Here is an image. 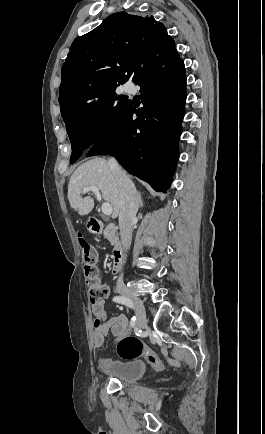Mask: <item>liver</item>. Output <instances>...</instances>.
<instances>
[{
  "instance_id": "obj_1",
  "label": "liver",
  "mask_w": 265,
  "mask_h": 434,
  "mask_svg": "<svg viewBox=\"0 0 265 434\" xmlns=\"http://www.w3.org/2000/svg\"><path fill=\"white\" fill-rule=\"evenodd\" d=\"M97 186L101 190L102 198L113 206L112 218H117L120 212L121 198L119 186L115 180V174L107 160L94 158L78 166L73 172L68 184V200L71 208L78 210L80 216L90 214L94 208V200L91 196L81 198L83 188Z\"/></svg>"
}]
</instances>
